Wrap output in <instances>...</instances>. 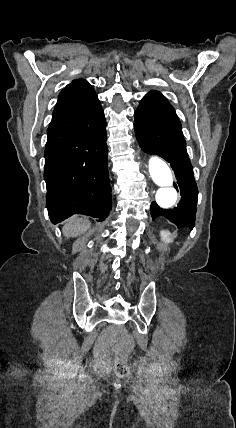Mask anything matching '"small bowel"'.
I'll use <instances>...</instances> for the list:
<instances>
[{"label": "small bowel", "instance_id": "small-bowel-1", "mask_svg": "<svg viewBox=\"0 0 236 428\" xmlns=\"http://www.w3.org/2000/svg\"><path fill=\"white\" fill-rule=\"evenodd\" d=\"M124 337V330L118 324L107 327L96 340L94 345L95 356L104 363H109L112 356L120 349Z\"/></svg>", "mask_w": 236, "mask_h": 428}]
</instances>
